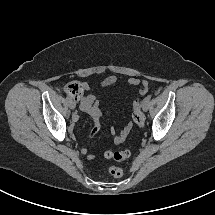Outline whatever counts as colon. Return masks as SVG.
<instances>
[{
  "instance_id": "colon-1",
  "label": "colon",
  "mask_w": 215,
  "mask_h": 215,
  "mask_svg": "<svg viewBox=\"0 0 215 215\" xmlns=\"http://www.w3.org/2000/svg\"><path fill=\"white\" fill-rule=\"evenodd\" d=\"M65 92L72 98L78 99L83 93V85L79 81H70L65 85ZM147 92L146 89H141L140 96L133 101V112L132 118L136 125L142 127L145 122V117L141 111V96ZM131 155L130 149H124L120 151H106L105 156L109 159H113L115 161H123L129 158ZM108 173L114 177L119 178L123 176L124 171L121 167L118 166H110L108 169Z\"/></svg>"
}]
</instances>
